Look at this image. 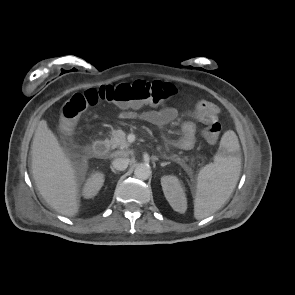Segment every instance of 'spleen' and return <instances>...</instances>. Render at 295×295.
<instances>
[{
  "instance_id": "obj_1",
  "label": "spleen",
  "mask_w": 295,
  "mask_h": 295,
  "mask_svg": "<svg viewBox=\"0 0 295 295\" xmlns=\"http://www.w3.org/2000/svg\"><path fill=\"white\" fill-rule=\"evenodd\" d=\"M239 148L236 134L231 130L225 132L214 161L200 170L194 198L197 220L219 210L233 192L241 171Z\"/></svg>"
}]
</instances>
